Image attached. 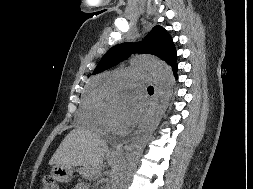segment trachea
<instances>
[{
	"label": "trachea",
	"mask_w": 253,
	"mask_h": 189,
	"mask_svg": "<svg viewBox=\"0 0 253 189\" xmlns=\"http://www.w3.org/2000/svg\"><path fill=\"white\" fill-rule=\"evenodd\" d=\"M148 91L154 92V88H153L152 86H149V87H148Z\"/></svg>",
	"instance_id": "obj_1"
}]
</instances>
